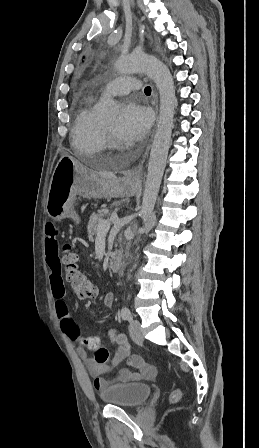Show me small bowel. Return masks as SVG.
<instances>
[{"mask_svg": "<svg viewBox=\"0 0 259 448\" xmlns=\"http://www.w3.org/2000/svg\"><path fill=\"white\" fill-rule=\"evenodd\" d=\"M46 237L44 242L45 261L50 270V284L52 294L55 299V313L60 321V327L65 334L73 341H82V334L70 316L68 305L65 299V288L61 277V263L59 258V244L57 240V230L53 224H48L45 229ZM107 307L114 304V295L109 293L104 299ZM112 343L118 345L114 360L106 364H99L91 358L83 347L77 349L78 355L84 361L90 375L94 377V387L97 390H103L110 381L103 378L112 368L117 366L122 360L127 359V367L122 368L116 373L112 381L129 382L149 380L155 377L156 368L145 362L137 355H130L125 338L115 330L108 333ZM134 368L135 370H133Z\"/></svg>", "mask_w": 259, "mask_h": 448, "instance_id": "1", "label": "small bowel"}]
</instances>
